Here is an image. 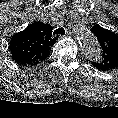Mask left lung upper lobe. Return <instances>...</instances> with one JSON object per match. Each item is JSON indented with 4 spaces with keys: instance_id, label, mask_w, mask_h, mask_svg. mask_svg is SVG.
<instances>
[{
    "instance_id": "1",
    "label": "left lung upper lobe",
    "mask_w": 118,
    "mask_h": 118,
    "mask_svg": "<svg viewBox=\"0 0 118 118\" xmlns=\"http://www.w3.org/2000/svg\"><path fill=\"white\" fill-rule=\"evenodd\" d=\"M92 32L100 43L103 57L99 62H92L93 66L102 71L118 68V36L99 25L93 26Z\"/></svg>"
}]
</instances>
